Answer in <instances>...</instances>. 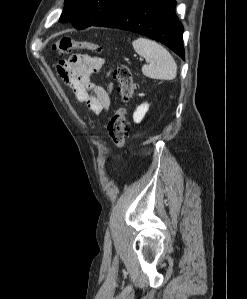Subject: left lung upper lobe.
Here are the masks:
<instances>
[{"mask_svg":"<svg viewBox=\"0 0 247 299\" xmlns=\"http://www.w3.org/2000/svg\"><path fill=\"white\" fill-rule=\"evenodd\" d=\"M122 0H65L60 22L72 21L77 29L91 26Z\"/></svg>","mask_w":247,"mask_h":299,"instance_id":"1","label":"left lung upper lobe"}]
</instances>
